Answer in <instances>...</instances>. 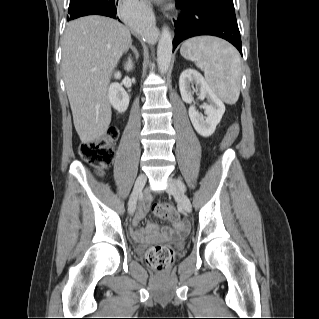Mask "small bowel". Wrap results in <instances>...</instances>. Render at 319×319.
Returning <instances> with one entry per match:
<instances>
[{"mask_svg": "<svg viewBox=\"0 0 319 319\" xmlns=\"http://www.w3.org/2000/svg\"><path fill=\"white\" fill-rule=\"evenodd\" d=\"M150 201L151 200L149 196H145L141 200L142 207L137 210L133 220V226L135 227V229L131 230V235L134 238L138 239L139 241H152L159 236L169 238L173 237L176 233H184L188 230L187 223L180 218H177L175 221H173V225L176 231L164 230L160 233L158 227L151 222H149L143 229H136L139 222L144 218L146 209L150 205Z\"/></svg>", "mask_w": 319, "mask_h": 319, "instance_id": "1", "label": "small bowel"}]
</instances>
